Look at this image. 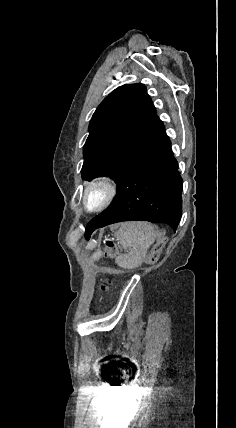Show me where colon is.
Masks as SVG:
<instances>
[{
	"instance_id": "obj_1",
	"label": "colon",
	"mask_w": 236,
	"mask_h": 428,
	"mask_svg": "<svg viewBox=\"0 0 236 428\" xmlns=\"http://www.w3.org/2000/svg\"><path fill=\"white\" fill-rule=\"evenodd\" d=\"M107 255H113L114 254V244L111 241L107 242V251H106ZM109 286V284H103L102 285V289L105 290L107 289Z\"/></svg>"
}]
</instances>
